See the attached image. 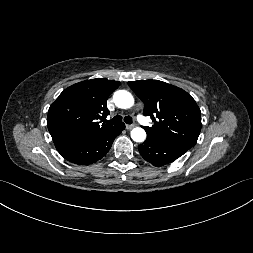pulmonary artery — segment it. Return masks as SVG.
<instances>
[{
    "instance_id": "1",
    "label": "pulmonary artery",
    "mask_w": 253,
    "mask_h": 253,
    "mask_svg": "<svg viewBox=\"0 0 253 253\" xmlns=\"http://www.w3.org/2000/svg\"><path fill=\"white\" fill-rule=\"evenodd\" d=\"M137 119H138V121L141 123V124H143V125H149V122H148V120L142 115V114H138L137 115Z\"/></svg>"
}]
</instances>
